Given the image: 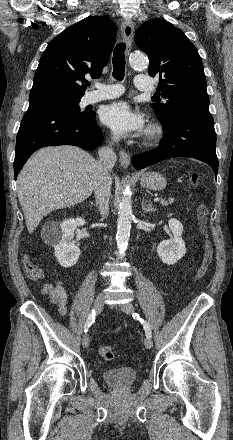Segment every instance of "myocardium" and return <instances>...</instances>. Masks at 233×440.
Instances as JSON below:
<instances>
[{
	"instance_id": "obj_1",
	"label": "myocardium",
	"mask_w": 233,
	"mask_h": 440,
	"mask_svg": "<svg viewBox=\"0 0 233 440\" xmlns=\"http://www.w3.org/2000/svg\"><path fill=\"white\" fill-rule=\"evenodd\" d=\"M162 128L159 125L153 124L149 126L146 131L144 143L147 145L157 142L162 136Z\"/></svg>"
}]
</instances>
